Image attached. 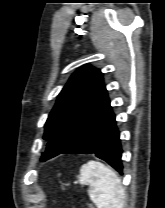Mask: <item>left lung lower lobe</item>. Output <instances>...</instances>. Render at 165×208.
Segmentation results:
<instances>
[{
	"mask_svg": "<svg viewBox=\"0 0 165 208\" xmlns=\"http://www.w3.org/2000/svg\"><path fill=\"white\" fill-rule=\"evenodd\" d=\"M66 153L95 154L123 174L120 134L109 100L85 122Z\"/></svg>",
	"mask_w": 165,
	"mask_h": 208,
	"instance_id": "obj_1",
	"label": "left lung lower lobe"
}]
</instances>
